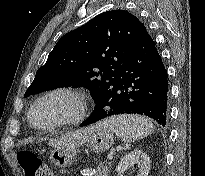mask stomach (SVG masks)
I'll use <instances>...</instances> for the list:
<instances>
[{"mask_svg":"<svg viewBox=\"0 0 205 176\" xmlns=\"http://www.w3.org/2000/svg\"><path fill=\"white\" fill-rule=\"evenodd\" d=\"M91 131L86 146L95 152H104L110 149L114 143L113 131L100 124L90 126ZM77 154V148H56L51 151L50 160L58 167L66 168L73 164Z\"/></svg>","mask_w":205,"mask_h":176,"instance_id":"0dacf381","label":"stomach"}]
</instances>
